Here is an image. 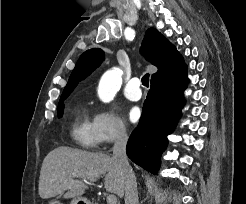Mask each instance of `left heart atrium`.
I'll return each mask as SVG.
<instances>
[{
	"instance_id": "1",
	"label": "left heart atrium",
	"mask_w": 246,
	"mask_h": 204,
	"mask_svg": "<svg viewBox=\"0 0 246 204\" xmlns=\"http://www.w3.org/2000/svg\"><path fill=\"white\" fill-rule=\"evenodd\" d=\"M141 118V110L139 107H132L128 112V119L132 123H136Z\"/></svg>"
}]
</instances>
